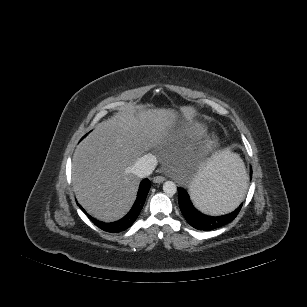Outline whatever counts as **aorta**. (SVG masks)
<instances>
[{
  "mask_svg": "<svg viewBox=\"0 0 307 307\" xmlns=\"http://www.w3.org/2000/svg\"><path fill=\"white\" fill-rule=\"evenodd\" d=\"M163 191L167 195H174L177 192V186L172 181H166L163 184Z\"/></svg>",
  "mask_w": 307,
  "mask_h": 307,
  "instance_id": "762f6f07",
  "label": "aorta"
}]
</instances>
